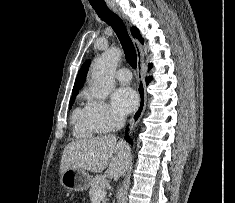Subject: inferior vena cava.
<instances>
[{
    "instance_id": "obj_1",
    "label": "inferior vena cava",
    "mask_w": 235,
    "mask_h": 203,
    "mask_svg": "<svg viewBox=\"0 0 235 203\" xmlns=\"http://www.w3.org/2000/svg\"><path fill=\"white\" fill-rule=\"evenodd\" d=\"M125 125V118L123 116H116L115 118V127L116 130H120ZM113 138H116L115 135H112Z\"/></svg>"
}]
</instances>
